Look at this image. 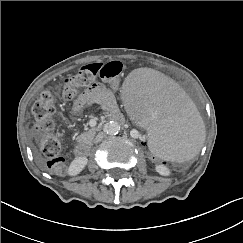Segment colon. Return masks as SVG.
I'll list each match as a JSON object with an SVG mask.
<instances>
[{
  "instance_id": "5ec220e1",
  "label": "colon",
  "mask_w": 243,
  "mask_h": 243,
  "mask_svg": "<svg viewBox=\"0 0 243 243\" xmlns=\"http://www.w3.org/2000/svg\"><path fill=\"white\" fill-rule=\"evenodd\" d=\"M122 71L123 64L119 61L83 66L76 74L65 79L62 92L63 97L73 99L84 87L92 85L97 80H101L110 87L116 88L120 83ZM57 99L58 94L56 92H43L34 103L32 114L34 117V129L41 135V149L47 158V167L55 174H62L65 170V160L60 154L61 143L52 133L55 127L53 115L56 111ZM139 145L147 161L162 168H171V161L162 159L154 153L147 140H140Z\"/></svg>"
}]
</instances>
